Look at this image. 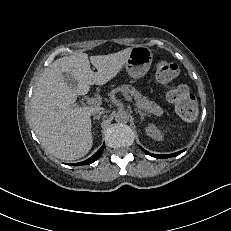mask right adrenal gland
Listing matches in <instances>:
<instances>
[{
  "instance_id": "right-adrenal-gland-1",
  "label": "right adrenal gland",
  "mask_w": 231,
  "mask_h": 231,
  "mask_svg": "<svg viewBox=\"0 0 231 231\" xmlns=\"http://www.w3.org/2000/svg\"><path fill=\"white\" fill-rule=\"evenodd\" d=\"M100 117H101V114L96 115V116H94V117H93V120H94V121H95V120H99V119H100ZM94 121H93V122H94Z\"/></svg>"
}]
</instances>
